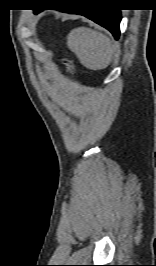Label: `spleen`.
<instances>
[{
  "label": "spleen",
  "instance_id": "1",
  "mask_svg": "<svg viewBox=\"0 0 156 266\" xmlns=\"http://www.w3.org/2000/svg\"><path fill=\"white\" fill-rule=\"evenodd\" d=\"M67 45L90 70L107 68L113 58L114 46L110 38L87 27L73 29L67 36Z\"/></svg>",
  "mask_w": 156,
  "mask_h": 266
}]
</instances>
